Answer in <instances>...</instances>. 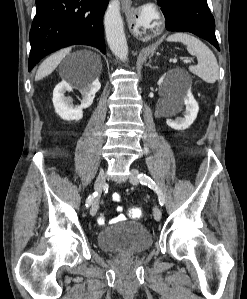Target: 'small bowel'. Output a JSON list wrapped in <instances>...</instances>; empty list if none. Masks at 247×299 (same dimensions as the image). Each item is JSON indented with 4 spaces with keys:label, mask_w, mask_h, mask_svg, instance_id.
Instances as JSON below:
<instances>
[{
    "label": "small bowel",
    "mask_w": 247,
    "mask_h": 299,
    "mask_svg": "<svg viewBox=\"0 0 247 299\" xmlns=\"http://www.w3.org/2000/svg\"><path fill=\"white\" fill-rule=\"evenodd\" d=\"M112 200L114 202H119L121 200V196L118 194V193H114L112 194ZM123 208L121 206H118L116 208V211L117 212H122ZM126 217L123 215V214H119L116 218H114L112 220V222H116V221H122V220H125ZM98 223L102 226L106 225L107 221H106V217L104 214H100L98 219H97Z\"/></svg>",
    "instance_id": "c3829d8e"
}]
</instances>
